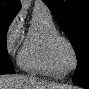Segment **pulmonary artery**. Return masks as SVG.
Returning <instances> with one entry per match:
<instances>
[{"instance_id":"obj_1","label":"pulmonary artery","mask_w":89,"mask_h":89,"mask_svg":"<svg viewBox=\"0 0 89 89\" xmlns=\"http://www.w3.org/2000/svg\"><path fill=\"white\" fill-rule=\"evenodd\" d=\"M42 13L45 15H51L48 7L41 1H36L34 6V13Z\"/></svg>"}]
</instances>
